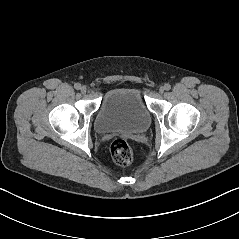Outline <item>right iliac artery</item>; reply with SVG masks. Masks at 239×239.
Segmentation results:
<instances>
[{
	"label": "right iliac artery",
	"instance_id": "82829eb1",
	"mask_svg": "<svg viewBox=\"0 0 239 239\" xmlns=\"http://www.w3.org/2000/svg\"><path fill=\"white\" fill-rule=\"evenodd\" d=\"M74 87H75V89L79 90V89H81V84L80 83H76L74 85Z\"/></svg>",
	"mask_w": 239,
	"mask_h": 239
}]
</instances>
